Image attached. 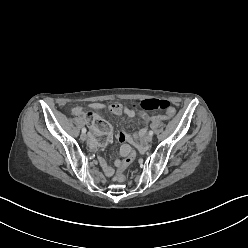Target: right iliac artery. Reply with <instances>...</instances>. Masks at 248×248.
I'll return each mask as SVG.
<instances>
[{
	"label": "right iliac artery",
	"mask_w": 248,
	"mask_h": 248,
	"mask_svg": "<svg viewBox=\"0 0 248 248\" xmlns=\"http://www.w3.org/2000/svg\"><path fill=\"white\" fill-rule=\"evenodd\" d=\"M86 131H87L86 128L82 129V133H86Z\"/></svg>",
	"instance_id": "82829eb1"
}]
</instances>
